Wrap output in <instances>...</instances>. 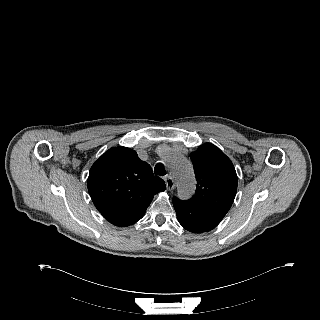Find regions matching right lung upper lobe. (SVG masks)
<instances>
[{
    "mask_svg": "<svg viewBox=\"0 0 320 320\" xmlns=\"http://www.w3.org/2000/svg\"><path fill=\"white\" fill-rule=\"evenodd\" d=\"M164 190V181L153 175L150 165L123 146L106 151L89 172L91 199L114 225L143 216L154 195Z\"/></svg>",
    "mask_w": 320,
    "mask_h": 320,
    "instance_id": "cb5924a9",
    "label": "right lung upper lobe"
}]
</instances>
